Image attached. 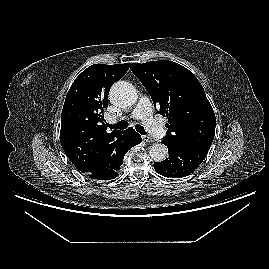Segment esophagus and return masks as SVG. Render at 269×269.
<instances>
[{
  "label": "esophagus",
  "mask_w": 269,
  "mask_h": 269,
  "mask_svg": "<svg viewBox=\"0 0 269 269\" xmlns=\"http://www.w3.org/2000/svg\"><path fill=\"white\" fill-rule=\"evenodd\" d=\"M142 140L145 142H153L154 139L148 135H142Z\"/></svg>",
  "instance_id": "34e87169"
}]
</instances>
